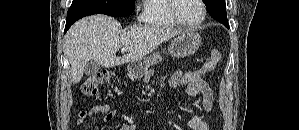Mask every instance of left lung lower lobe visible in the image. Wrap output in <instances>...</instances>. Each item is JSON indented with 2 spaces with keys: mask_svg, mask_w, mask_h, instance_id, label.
<instances>
[{
  "mask_svg": "<svg viewBox=\"0 0 299 130\" xmlns=\"http://www.w3.org/2000/svg\"><path fill=\"white\" fill-rule=\"evenodd\" d=\"M221 23V22H220ZM227 28H229L228 22H222Z\"/></svg>",
  "mask_w": 299,
  "mask_h": 130,
  "instance_id": "1",
  "label": "left lung lower lobe"
}]
</instances>
